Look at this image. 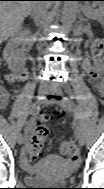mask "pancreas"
Instances as JSON below:
<instances>
[{
  "label": "pancreas",
  "mask_w": 104,
  "mask_h": 189,
  "mask_svg": "<svg viewBox=\"0 0 104 189\" xmlns=\"http://www.w3.org/2000/svg\"><path fill=\"white\" fill-rule=\"evenodd\" d=\"M87 15L93 19H98L100 17V15L94 11L89 12Z\"/></svg>",
  "instance_id": "cf45deb5"
}]
</instances>
